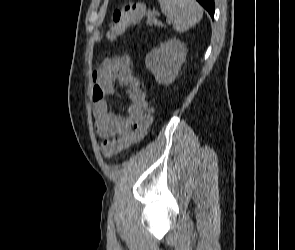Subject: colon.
<instances>
[{
  "instance_id": "colon-1",
  "label": "colon",
  "mask_w": 295,
  "mask_h": 250,
  "mask_svg": "<svg viewBox=\"0 0 295 250\" xmlns=\"http://www.w3.org/2000/svg\"><path fill=\"white\" fill-rule=\"evenodd\" d=\"M145 12V8L141 3H131L123 9L114 11L109 27L106 31V36L109 39H115L123 35L126 30L139 22ZM152 108L148 110L145 118L135 126V142H139L146 134L152 123ZM99 149L105 158L111 157L121 150L123 144L117 139L103 140L99 144Z\"/></svg>"
}]
</instances>
